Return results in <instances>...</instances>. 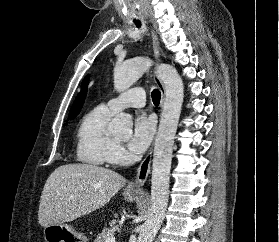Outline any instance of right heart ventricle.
<instances>
[{
    "label": "right heart ventricle",
    "mask_w": 279,
    "mask_h": 242,
    "mask_svg": "<svg viewBox=\"0 0 279 242\" xmlns=\"http://www.w3.org/2000/svg\"><path fill=\"white\" fill-rule=\"evenodd\" d=\"M113 113L107 106L98 105L81 119L77 130V157L81 162L96 166L112 162L117 145L107 126Z\"/></svg>",
    "instance_id": "right-heart-ventricle-1"
}]
</instances>
